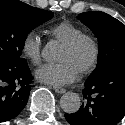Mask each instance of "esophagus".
Listing matches in <instances>:
<instances>
[{"mask_svg":"<svg viewBox=\"0 0 125 125\" xmlns=\"http://www.w3.org/2000/svg\"><path fill=\"white\" fill-rule=\"evenodd\" d=\"M54 91L59 93V94H63L66 92V89L65 88H62V87H59V86H54L53 87Z\"/></svg>","mask_w":125,"mask_h":125,"instance_id":"esophagus-1","label":"esophagus"}]
</instances>
